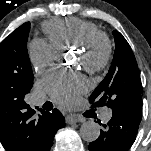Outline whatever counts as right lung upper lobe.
<instances>
[{
	"label": "right lung upper lobe",
	"mask_w": 151,
	"mask_h": 151,
	"mask_svg": "<svg viewBox=\"0 0 151 151\" xmlns=\"http://www.w3.org/2000/svg\"><path fill=\"white\" fill-rule=\"evenodd\" d=\"M44 111L37 114L22 96H0V141L6 151H42Z\"/></svg>",
	"instance_id": "1"
}]
</instances>
